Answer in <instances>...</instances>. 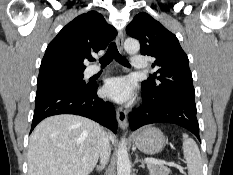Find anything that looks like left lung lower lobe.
I'll return each instance as SVG.
<instances>
[{"instance_id":"0a47b994","label":"left lung lower lobe","mask_w":233,"mask_h":175,"mask_svg":"<svg viewBox=\"0 0 233 175\" xmlns=\"http://www.w3.org/2000/svg\"><path fill=\"white\" fill-rule=\"evenodd\" d=\"M143 104L129 117L131 130L152 123H173L192 132L200 141L194 95L176 93L160 100L142 92Z\"/></svg>"}]
</instances>
